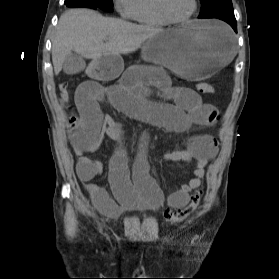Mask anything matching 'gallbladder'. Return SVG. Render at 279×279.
Returning a JSON list of instances; mask_svg holds the SVG:
<instances>
[{
	"label": "gallbladder",
	"mask_w": 279,
	"mask_h": 279,
	"mask_svg": "<svg viewBox=\"0 0 279 279\" xmlns=\"http://www.w3.org/2000/svg\"><path fill=\"white\" fill-rule=\"evenodd\" d=\"M85 67V60L77 53L69 54L63 63V71L67 75L78 74L83 71Z\"/></svg>",
	"instance_id": "gallbladder-1"
}]
</instances>
